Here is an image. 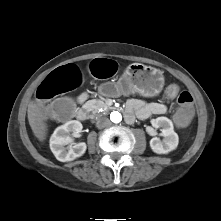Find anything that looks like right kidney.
I'll list each match as a JSON object with an SVG mask.
<instances>
[{"label":"right kidney","instance_id":"ca27d5eb","mask_svg":"<svg viewBox=\"0 0 221 221\" xmlns=\"http://www.w3.org/2000/svg\"><path fill=\"white\" fill-rule=\"evenodd\" d=\"M82 128L81 122L71 120L55 129L50 138V149L57 160L61 162L73 161L85 153L86 143L80 142L72 145V137L70 136L71 134L76 137ZM66 145L69 146L65 147Z\"/></svg>","mask_w":221,"mask_h":221}]
</instances>
